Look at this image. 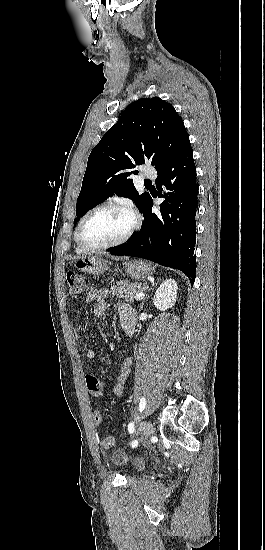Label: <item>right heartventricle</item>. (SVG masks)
Wrapping results in <instances>:
<instances>
[{
    "label": "right heart ventricle",
    "mask_w": 265,
    "mask_h": 550,
    "mask_svg": "<svg viewBox=\"0 0 265 550\" xmlns=\"http://www.w3.org/2000/svg\"><path fill=\"white\" fill-rule=\"evenodd\" d=\"M76 243H77V242H76ZM76 250H77V252H79V253H84V252H85V250L82 249L78 244H77V246H76Z\"/></svg>",
    "instance_id": "obj_1"
}]
</instances>
